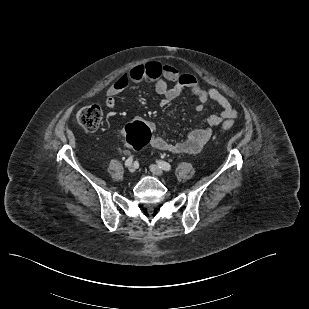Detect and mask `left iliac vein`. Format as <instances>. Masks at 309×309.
Instances as JSON below:
<instances>
[{"label": "left iliac vein", "instance_id": "left-iliac-vein-1", "mask_svg": "<svg viewBox=\"0 0 309 309\" xmlns=\"http://www.w3.org/2000/svg\"><path fill=\"white\" fill-rule=\"evenodd\" d=\"M150 171L154 175H157V176H162L163 175V170L159 166H157L155 164L150 165Z\"/></svg>", "mask_w": 309, "mask_h": 309}]
</instances>
